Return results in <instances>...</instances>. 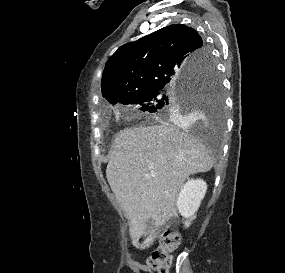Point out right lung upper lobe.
<instances>
[{"mask_svg": "<svg viewBox=\"0 0 285 273\" xmlns=\"http://www.w3.org/2000/svg\"><path fill=\"white\" fill-rule=\"evenodd\" d=\"M207 51L191 27L173 24L121 46L103 71L102 95L111 104L160 85H174L201 72Z\"/></svg>", "mask_w": 285, "mask_h": 273, "instance_id": "cb5924a9", "label": "right lung upper lobe"}]
</instances>
